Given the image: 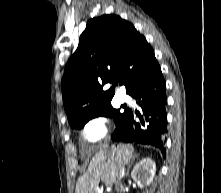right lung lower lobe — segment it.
<instances>
[{
  "label": "right lung lower lobe",
  "instance_id": "right-lung-lower-lobe-1",
  "mask_svg": "<svg viewBox=\"0 0 221 193\" xmlns=\"http://www.w3.org/2000/svg\"><path fill=\"white\" fill-rule=\"evenodd\" d=\"M165 89V80L158 62L155 61L134 80L129 92L141 107L142 115L128 109L126 119L113 135V140L152 145L160 148L165 156L166 150L163 147L167 133Z\"/></svg>",
  "mask_w": 221,
  "mask_h": 193
}]
</instances>
